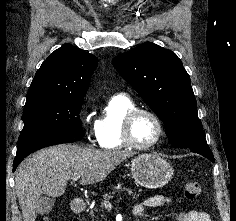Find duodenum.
Returning <instances> with one entry per match:
<instances>
[{
	"label": "duodenum",
	"mask_w": 236,
	"mask_h": 221,
	"mask_svg": "<svg viewBox=\"0 0 236 221\" xmlns=\"http://www.w3.org/2000/svg\"><path fill=\"white\" fill-rule=\"evenodd\" d=\"M71 209L74 214H81L85 210V205L79 200H74L71 203Z\"/></svg>",
	"instance_id": "duodenum-1"
}]
</instances>
